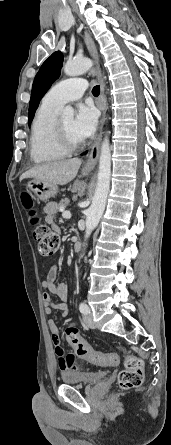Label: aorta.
I'll return each instance as SVG.
<instances>
[{"label":"aorta","mask_w":171,"mask_h":445,"mask_svg":"<svg viewBox=\"0 0 171 445\" xmlns=\"http://www.w3.org/2000/svg\"><path fill=\"white\" fill-rule=\"evenodd\" d=\"M92 66L93 62L89 58L73 59L65 64L64 73L67 76H77L85 73ZM73 116L74 110L72 108H65L63 110V118H72ZM110 179L111 149L109 138L106 136L101 144L96 190L91 206L86 213L85 239L90 236L91 232L96 228L101 216L103 215L110 190Z\"/></svg>","instance_id":"762f6f07"}]
</instances>
